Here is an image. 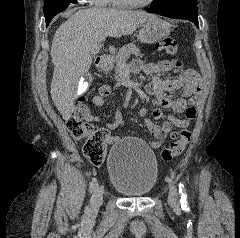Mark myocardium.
<instances>
[{
	"label": "myocardium",
	"instance_id": "1",
	"mask_svg": "<svg viewBox=\"0 0 240 238\" xmlns=\"http://www.w3.org/2000/svg\"><path fill=\"white\" fill-rule=\"evenodd\" d=\"M114 3L120 7L124 8H142L150 5L154 0H147L143 3H135V2H129L126 0H113Z\"/></svg>",
	"mask_w": 240,
	"mask_h": 238
}]
</instances>
